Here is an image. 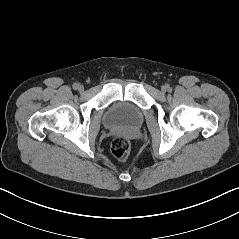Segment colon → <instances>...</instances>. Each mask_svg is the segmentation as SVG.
Listing matches in <instances>:
<instances>
[{
    "label": "colon",
    "mask_w": 239,
    "mask_h": 239,
    "mask_svg": "<svg viewBox=\"0 0 239 239\" xmlns=\"http://www.w3.org/2000/svg\"><path fill=\"white\" fill-rule=\"evenodd\" d=\"M130 149V142L124 137H117L111 143V152L119 161H125L128 158Z\"/></svg>",
    "instance_id": "colon-1"
}]
</instances>
